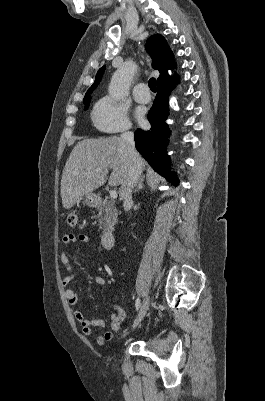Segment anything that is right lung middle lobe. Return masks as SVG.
Instances as JSON below:
<instances>
[{
  "label": "right lung middle lobe",
  "mask_w": 265,
  "mask_h": 401,
  "mask_svg": "<svg viewBox=\"0 0 265 401\" xmlns=\"http://www.w3.org/2000/svg\"><path fill=\"white\" fill-rule=\"evenodd\" d=\"M84 103H85V105H86V106H85V109H87V107H88V105H89V103H90V99L85 100Z\"/></svg>",
  "instance_id": "right-lung-middle-lobe-1"
}]
</instances>
